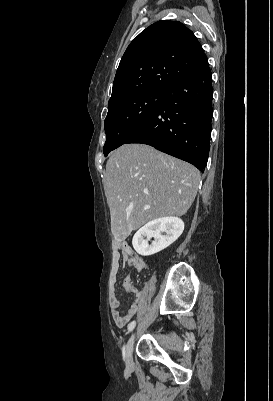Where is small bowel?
Instances as JSON below:
<instances>
[{
  "label": "small bowel",
  "mask_w": 273,
  "mask_h": 401,
  "mask_svg": "<svg viewBox=\"0 0 273 401\" xmlns=\"http://www.w3.org/2000/svg\"><path fill=\"white\" fill-rule=\"evenodd\" d=\"M140 258L134 255L133 249L127 243L117 244L112 252V263L109 275V287L111 293V310L114 324L119 328H124L130 320L139 312L141 306L146 302H151L150 290H137L135 280L130 276H125L122 285L128 287L129 294H133L134 300L131 302L125 312H121V299L117 295L118 273L121 265H131L137 269L140 268Z\"/></svg>",
  "instance_id": "c3829d8e"
}]
</instances>
